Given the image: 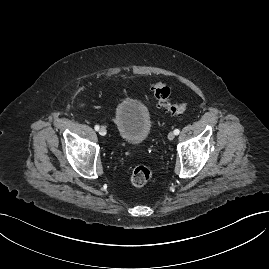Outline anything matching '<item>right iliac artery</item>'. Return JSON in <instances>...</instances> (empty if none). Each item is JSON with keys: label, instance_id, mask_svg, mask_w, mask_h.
I'll use <instances>...</instances> for the list:
<instances>
[{"label": "right iliac artery", "instance_id": "1", "mask_svg": "<svg viewBox=\"0 0 269 269\" xmlns=\"http://www.w3.org/2000/svg\"><path fill=\"white\" fill-rule=\"evenodd\" d=\"M95 130L98 131L99 130V125H95Z\"/></svg>", "mask_w": 269, "mask_h": 269}]
</instances>
